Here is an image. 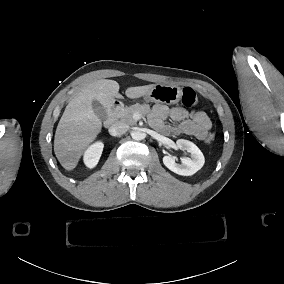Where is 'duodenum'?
I'll return each instance as SVG.
<instances>
[{
    "label": "duodenum",
    "instance_id": "1",
    "mask_svg": "<svg viewBox=\"0 0 284 284\" xmlns=\"http://www.w3.org/2000/svg\"><path fill=\"white\" fill-rule=\"evenodd\" d=\"M120 107H121V105H120L119 102H113L112 103V107L106 113V117L104 119V125L105 126L111 127L115 123L117 116H118V112L120 110Z\"/></svg>",
    "mask_w": 284,
    "mask_h": 284
}]
</instances>
